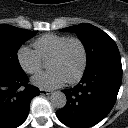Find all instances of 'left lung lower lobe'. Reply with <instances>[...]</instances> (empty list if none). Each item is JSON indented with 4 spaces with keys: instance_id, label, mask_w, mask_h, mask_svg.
I'll return each mask as SVG.
<instances>
[{
    "instance_id": "0a47b994",
    "label": "left lung lower lobe",
    "mask_w": 128,
    "mask_h": 128,
    "mask_svg": "<svg viewBox=\"0 0 128 128\" xmlns=\"http://www.w3.org/2000/svg\"><path fill=\"white\" fill-rule=\"evenodd\" d=\"M122 80L120 58H107L85 70L78 85L63 90L67 104L56 112L71 128H88L104 119L113 108Z\"/></svg>"
}]
</instances>
